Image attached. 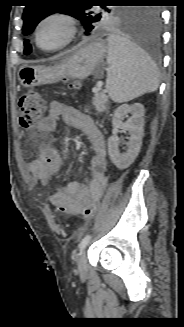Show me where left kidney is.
<instances>
[{
  "label": "left kidney",
  "mask_w": 184,
  "mask_h": 327,
  "mask_svg": "<svg viewBox=\"0 0 184 327\" xmlns=\"http://www.w3.org/2000/svg\"><path fill=\"white\" fill-rule=\"evenodd\" d=\"M131 113L130 119L122 122V118ZM112 126L129 131L130 138L126 153L121 154L118 148V139L116 136L108 138V153L111 161L118 169L128 168L138 156L142 145V137L144 134V107L140 103L131 105H120L115 111L112 118Z\"/></svg>",
  "instance_id": "obj_1"
}]
</instances>
